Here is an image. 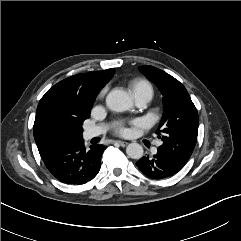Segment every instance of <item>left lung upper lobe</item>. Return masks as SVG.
Segmentation results:
<instances>
[{"label": "left lung upper lobe", "instance_id": "5c2ea615", "mask_svg": "<svg viewBox=\"0 0 241 241\" xmlns=\"http://www.w3.org/2000/svg\"><path fill=\"white\" fill-rule=\"evenodd\" d=\"M140 71L159 88L163 95V117L156 134L163 144L158 151L182 167L189 160L198 135L199 118L185 87L174 77L153 66H140Z\"/></svg>", "mask_w": 241, "mask_h": 241}]
</instances>
